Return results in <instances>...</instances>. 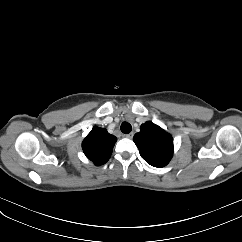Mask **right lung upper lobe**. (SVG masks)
Masks as SVG:
<instances>
[{
	"label": "right lung upper lobe",
	"instance_id": "right-lung-upper-lobe-1",
	"mask_svg": "<svg viewBox=\"0 0 242 242\" xmlns=\"http://www.w3.org/2000/svg\"><path fill=\"white\" fill-rule=\"evenodd\" d=\"M116 140L106 129L93 127L83 140L82 149L86 157L99 166L109 160Z\"/></svg>",
	"mask_w": 242,
	"mask_h": 242
}]
</instances>
